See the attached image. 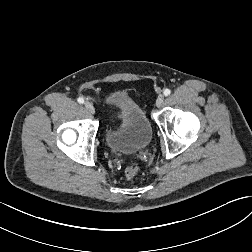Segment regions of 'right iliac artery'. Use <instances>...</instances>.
I'll use <instances>...</instances> for the list:
<instances>
[{"mask_svg":"<svg viewBox=\"0 0 252 252\" xmlns=\"http://www.w3.org/2000/svg\"><path fill=\"white\" fill-rule=\"evenodd\" d=\"M77 101H78V103H80V104H83V103H84V99H83L82 97H79V98L77 99Z\"/></svg>","mask_w":252,"mask_h":252,"instance_id":"1","label":"right iliac artery"}]
</instances>
